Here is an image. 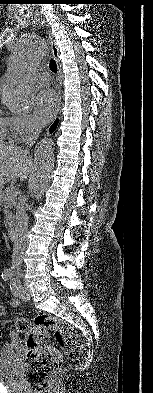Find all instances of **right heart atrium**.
I'll return each mask as SVG.
<instances>
[{"label": "right heart atrium", "instance_id": "obj_1", "mask_svg": "<svg viewBox=\"0 0 153 393\" xmlns=\"http://www.w3.org/2000/svg\"><path fill=\"white\" fill-rule=\"evenodd\" d=\"M13 138L28 137L36 133L39 130V126L36 121L27 115L12 116Z\"/></svg>", "mask_w": 153, "mask_h": 393}]
</instances>
